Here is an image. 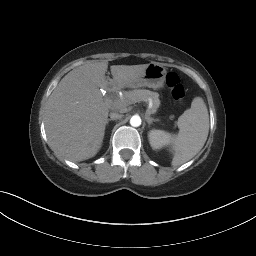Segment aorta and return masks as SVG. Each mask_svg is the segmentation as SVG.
<instances>
[{
	"mask_svg": "<svg viewBox=\"0 0 256 256\" xmlns=\"http://www.w3.org/2000/svg\"><path fill=\"white\" fill-rule=\"evenodd\" d=\"M130 124L133 127H138L141 125V118L138 115H134L130 119Z\"/></svg>",
	"mask_w": 256,
	"mask_h": 256,
	"instance_id": "1",
	"label": "aorta"
}]
</instances>
